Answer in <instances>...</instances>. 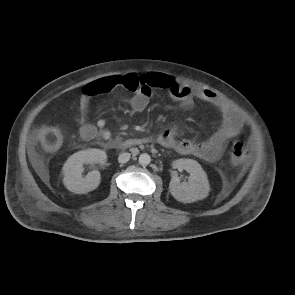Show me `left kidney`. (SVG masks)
<instances>
[{"label":"left kidney","instance_id":"left-kidney-1","mask_svg":"<svg viewBox=\"0 0 295 295\" xmlns=\"http://www.w3.org/2000/svg\"><path fill=\"white\" fill-rule=\"evenodd\" d=\"M173 167L186 170L189 174L187 183H181L176 173L172 174L169 191L180 202L192 203L206 198L210 191L207 175L201 165L193 159H178Z\"/></svg>","mask_w":295,"mask_h":295}]
</instances>
